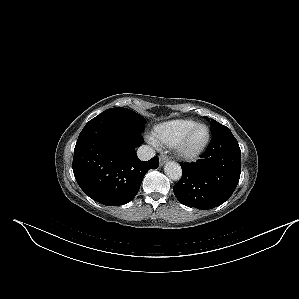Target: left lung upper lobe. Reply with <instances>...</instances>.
<instances>
[{
  "mask_svg": "<svg viewBox=\"0 0 299 299\" xmlns=\"http://www.w3.org/2000/svg\"><path fill=\"white\" fill-rule=\"evenodd\" d=\"M223 127H226V126L218 123L217 121H215L213 119L211 120V132H212V134L217 132L218 130L222 129Z\"/></svg>",
  "mask_w": 299,
  "mask_h": 299,
  "instance_id": "1",
  "label": "left lung upper lobe"
}]
</instances>
